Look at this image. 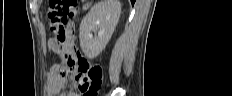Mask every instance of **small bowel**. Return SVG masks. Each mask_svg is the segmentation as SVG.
Returning a JSON list of instances; mask_svg holds the SVG:
<instances>
[{"label":"small bowel","instance_id":"small-bowel-1","mask_svg":"<svg viewBox=\"0 0 232 96\" xmlns=\"http://www.w3.org/2000/svg\"><path fill=\"white\" fill-rule=\"evenodd\" d=\"M67 29H68L69 35H78V33L80 32V27L78 26V22H68ZM48 45L50 49L57 52L58 44L54 40L49 41ZM72 69L73 68H69L66 65V63L61 64V65H55L50 69L47 75V80L49 83V86H48L49 96H54V95L65 96L66 95L65 91L67 88V74H68V71ZM78 94L79 93L75 86L69 95L78 96Z\"/></svg>","mask_w":232,"mask_h":96}]
</instances>
